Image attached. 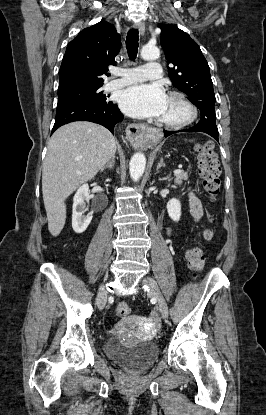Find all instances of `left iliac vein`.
I'll list each match as a JSON object with an SVG mask.
<instances>
[{"label": "left iliac vein", "instance_id": "left-iliac-vein-1", "mask_svg": "<svg viewBox=\"0 0 266 415\" xmlns=\"http://www.w3.org/2000/svg\"><path fill=\"white\" fill-rule=\"evenodd\" d=\"M142 283L148 287V294L157 300L162 318L166 320L168 318V306L156 281L151 277H146L142 280Z\"/></svg>", "mask_w": 266, "mask_h": 415}]
</instances>
